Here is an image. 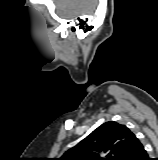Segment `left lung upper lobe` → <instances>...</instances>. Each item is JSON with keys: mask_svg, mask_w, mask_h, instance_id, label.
<instances>
[{"mask_svg": "<svg viewBox=\"0 0 158 160\" xmlns=\"http://www.w3.org/2000/svg\"><path fill=\"white\" fill-rule=\"evenodd\" d=\"M135 139V134L125 125L106 122L59 160H126Z\"/></svg>", "mask_w": 158, "mask_h": 160, "instance_id": "left-lung-upper-lobe-1", "label": "left lung upper lobe"}]
</instances>
